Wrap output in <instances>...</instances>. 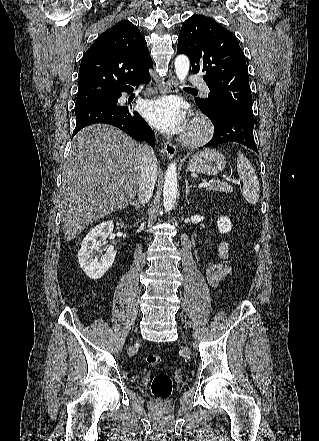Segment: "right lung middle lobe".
Instances as JSON below:
<instances>
[{"label":"right lung middle lobe","mask_w":319,"mask_h":441,"mask_svg":"<svg viewBox=\"0 0 319 441\" xmlns=\"http://www.w3.org/2000/svg\"><path fill=\"white\" fill-rule=\"evenodd\" d=\"M107 99H109V98H107ZM107 99L96 100V101H91V102H76L75 110H78V109H80V108H82L84 106H87L89 104L96 103V102H101V101H104V100H107Z\"/></svg>","instance_id":"obj_1"}]
</instances>
